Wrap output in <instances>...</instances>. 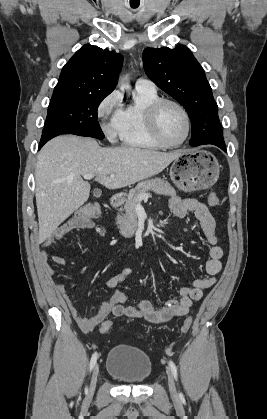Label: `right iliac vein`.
I'll return each instance as SVG.
<instances>
[{"mask_svg":"<svg viewBox=\"0 0 267 419\" xmlns=\"http://www.w3.org/2000/svg\"><path fill=\"white\" fill-rule=\"evenodd\" d=\"M98 373H99V367H98V365H96L93 369L91 382H90V387H89V390H88V397H91L94 394V391H95V388H96V383H97Z\"/></svg>","mask_w":267,"mask_h":419,"instance_id":"obj_1","label":"right iliac vein"}]
</instances>
